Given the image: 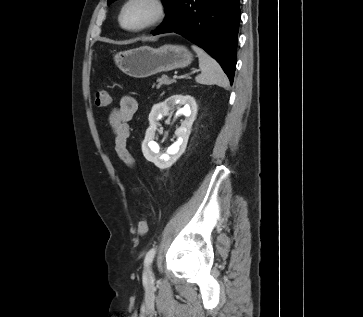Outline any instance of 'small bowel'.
I'll use <instances>...</instances> for the list:
<instances>
[{
	"instance_id": "c3829d8e",
	"label": "small bowel",
	"mask_w": 363,
	"mask_h": 317,
	"mask_svg": "<svg viewBox=\"0 0 363 317\" xmlns=\"http://www.w3.org/2000/svg\"><path fill=\"white\" fill-rule=\"evenodd\" d=\"M137 109V100L132 96L125 95L120 99L118 107L113 109L109 116L115 152L120 160L130 167L133 166L134 159L127 148V141L131 132L129 122Z\"/></svg>"
}]
</instances>
